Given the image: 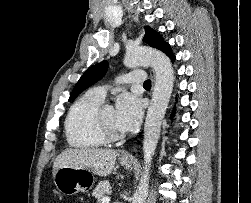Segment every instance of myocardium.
Masks as SVG:
<instances>
[{"label":"myocardium","instance_id":"f54148a6","mask_svg":"<svg viewBox=\"0 0 251 203\" xmlns=\"http://www.w3.org/2000/svg\"><path fill=\"white\" fill-rule=\"evenodd\" d=\"M103 111L99 110L97 114V127L99 129V132L104 137V139L108 142H115L122 140L124 138V135L120 132H116L113 130L105 121L103 118Z\"/></svg>","mask_w":251,"mask_h":203}]
</instances>
